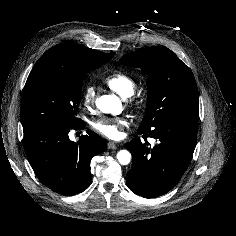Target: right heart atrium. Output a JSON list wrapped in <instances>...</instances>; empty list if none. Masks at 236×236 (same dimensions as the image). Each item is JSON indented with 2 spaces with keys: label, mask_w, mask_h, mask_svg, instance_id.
I'll use <instances>...</instances> for the list:
<instances>
[{
  "label": "right heart atrium",
  "mask_w": 236,
  "mask_h": 236,
  "mask_svg": "<svg viewBox=\"0 0 236 236\" xmlns=\"http://www.w3.org/2000/svg\"><path fill=\"white\" fill-rule=\"evenodd\" d=\"M96 96V90L92 85H86L83 89L82 93V101L83 104L90 108L94 105Z\"/></svg>",
  "instance_id": "1"
}]
</instances>
